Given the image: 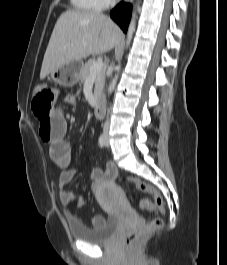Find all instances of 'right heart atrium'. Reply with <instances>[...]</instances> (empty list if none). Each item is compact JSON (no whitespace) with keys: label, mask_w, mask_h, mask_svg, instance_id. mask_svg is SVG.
<instances>
[{"label":"right heart atrium","mask_w":227,"mask_h":265,"mask_svg":"<svg viewBox=\"0 0 227 265\" xmlns=\"http://www.w3.org/2000/svg\"><path fill=\"white\" fill-rule=\"evenodd\" d=\"M113 0H96L97 8L102 9L112 3Z\"/></svg>","instance_id":"1"}]
</instances>
